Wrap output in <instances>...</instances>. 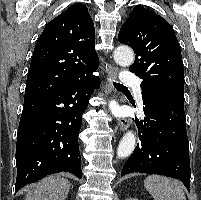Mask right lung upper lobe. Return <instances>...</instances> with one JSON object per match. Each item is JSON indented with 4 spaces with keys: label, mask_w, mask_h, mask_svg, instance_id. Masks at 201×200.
<instances>
[{
    "label": "right lung upper lobe",
    "mask_w": 201,
    "mask_h": 200,
    "mask_svg": "<svg viewBox=\"0 0 201 200\" xmlns=\"http://www.w3.org/2000/svg\"><path fill=\"white\" fill-rule=\"evenodd\" d=\"M95 29L87 7L70 6L39 37L27 76L25 98L60 90L99 66Z\"/></svg>",
    "instance_id": "right-lung-upper-lobe-1"
}]
</instances>
